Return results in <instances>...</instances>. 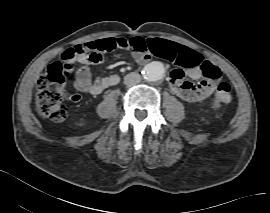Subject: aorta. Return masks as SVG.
<instances>
[{
    "label": "aorta",
    "mask_w": 270,
    "mask_h": 213,
    "mask_svg": "<svg viewBox=\"0 0 270 213\" xmlns=\"http://www.w3.org/2000/svg\"><path fill=\"white\" fill-rule=\"evenodd\" d=\"M143 74L148 81H160L165 77L166 68L163 63L154 61L145 65Z\"/></svg>",
    "instance_id": "obj_1"
}]
</instances>
